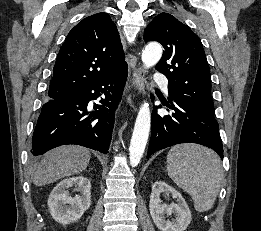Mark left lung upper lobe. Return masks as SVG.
<instances>
[{"mask_svg":"<svg viewBox=\"0 0 261 231\" xmlns=\"http://www.w3.org/2000/svg\"><path fill=\"white\" fill-rule=\"evenodd\" d=\"M144 40L158 41L165 49L155 69L168 78L170 98L214 115L210 70L198 36L174 16L161 13L146 27Z\"/></svg>","mask_w":261,"mask_h":231,"instance_id":"left-lung-upper-lobe-1","label":"left lung upper lobe"}]
</instances>
